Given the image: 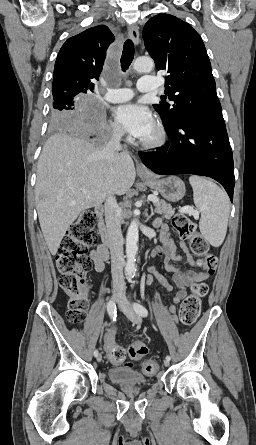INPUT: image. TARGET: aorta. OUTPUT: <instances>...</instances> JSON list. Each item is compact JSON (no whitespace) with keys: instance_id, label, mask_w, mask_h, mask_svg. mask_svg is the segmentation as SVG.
<instances>
[{"instance_id":"aorta-1","label":"aorta","mask_w":256,"mask_h":445,"mask_svg":"<svg viewBox=\"0 0 256 445\" xmlns=\"http://www.w3.org/2000/svg\"><path fill=\"white\" fill-rule=\"evenodd\" d=\"M154 67V62L148 57H139L133 63V69L137 72H150ZM139 230L137 221H133L127 231L126 236V275L131 277L136 273V255L138 252Z\"/></svg>"}]
</instances>
